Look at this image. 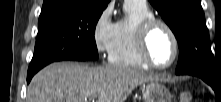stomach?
I'll return each instance as SVG.
<instances>
[{
	"label": "stomach",
	"mask_w": 221,
	"mask_h": 102,
	"mask_svg": "<svg viewBox=\"0 0 221 102\" xmlns=\"http://www.w3.org/2000/svg\"><path fill=\"white\" fill-rule=\"evenodd\" d=\"M144 102H172V95L166 86L158 81H151L143 87Z\"/></svg>",
	"instance_id": "0dacf381"
}]
</instances>
